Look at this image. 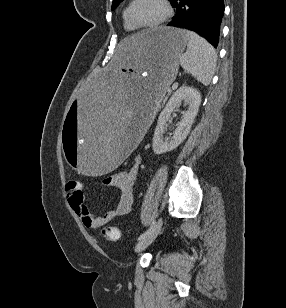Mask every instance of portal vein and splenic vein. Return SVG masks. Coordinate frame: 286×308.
Here are the masks:
<instances>
[{
	"mask_svg": "<svg viewBox=\"0 0 286 308\" xmlns=\"http://www.w3.org/2000/svg\"><path fill=\"white\" fill-rule=\"evenodd\" d=\"M175 87H177V83L176 82L172 85V89H174Z\"/></svg>",
	"mask_w": 286,
	"mask_h": 308,
	"instance_id": "18ae733b",
	"label": "portal vein and splenic vein"
}]
</instances>
